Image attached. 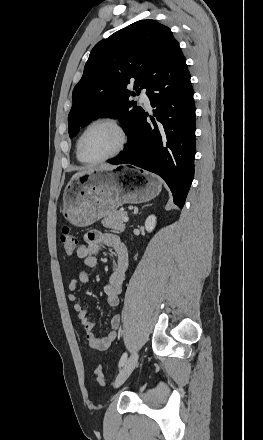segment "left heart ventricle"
Wrapping results in <instances>:
<instances>
[{"mask_svg": "<svg viewBox=\"0 0 263 440\" xmlns=\"http://www.w3.org/2000/svg\"><path fill=\"white\" fill-rule=\"evenodd\" d=\"M120 135L110 124L92 127L83 138L81 151L87 160H97L111 154L118 147Z\"/></svg>", "mask_w": 263, "mask_h": 440, "instance_id": "left-heart-ventricle-1", "label": "left heart ventricle"}]
</instances>
